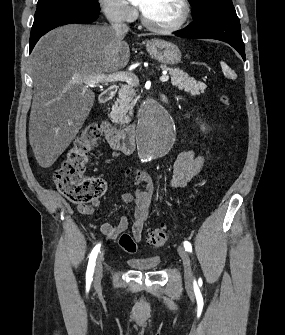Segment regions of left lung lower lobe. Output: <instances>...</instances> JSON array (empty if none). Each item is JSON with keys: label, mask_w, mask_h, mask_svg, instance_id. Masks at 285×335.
I'll return each instance as SVG.
<instances>
[{"label": "left lung lower lobe", "mask_w": 285, "mask_h": 335, "mask_svg": "<svg viewBox=\"0 0 285 335\" xmlns=\"http://www.w3.org/2000/svg\"><path fill=\"white\" fill-rule=\"evenodd\" d=\"M177 36L194 39H216L234 47L245 60L244 43L241 36L240 22L234 7H212L196 17Z\"/></svg>", "instance_id": "0a47b994"}]
</instances>
